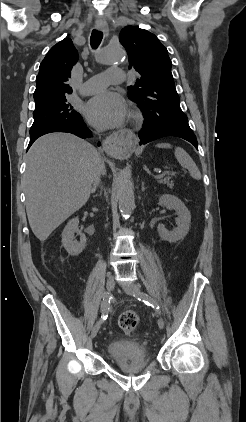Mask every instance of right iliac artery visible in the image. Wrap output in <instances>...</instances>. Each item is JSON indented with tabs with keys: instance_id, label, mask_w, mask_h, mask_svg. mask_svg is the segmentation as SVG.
Returning a JSON list of instances; mask_svg holds the SVG:
<instances>
[{
	"instance_id": "1",
	"label": "right iliac artery",
	"mask_w": 246,
	"mask_h": 422,
	"mask_svg": "<svg viewBox=\"0 0 246 422\" xmlns=\"http://www.w3.org/2000/svg\"><path fill=\"white\" fill-rule=\"evenodd\" d=\"M110 294L109 293H105L103 296V301H102V315L101 318L98 322L103 323L107 317H108V313L110 311Z\"/></svg>"
}]
</instances>
